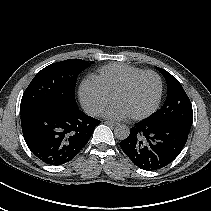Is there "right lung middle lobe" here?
I'll return each instance as SVG.
<instances>
[{"label": "right lung middle lobe", "instance_id": "obj_1", "mask_svg": "<svg viewBox=\"0 0 211 211\" xmlns=\"http://www.w3.org/2000/svg\"><path fill=\"white\" fill-rule=\"evenodd\" d=\"M90 64L80 59H69L39 71L23 94L20 111L47 106L78 108L75 100L77 76Z\"/></svg>", "mask_w": 211, "mask_h": 211}]
</instances>
